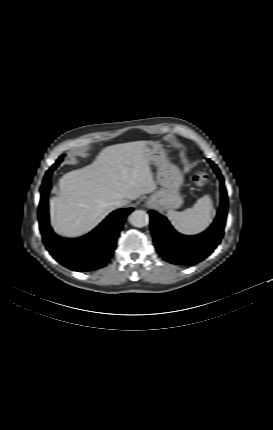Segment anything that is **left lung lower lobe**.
Listing matches in <instances>:
<instances>
[{
  "label": "left lung lower lobe",
  "instance_id": "left-lung-lower-lobe-1",
  "mask_svg": "<svg viewBox=\"0 0 273 430\" xmlns=\"http://www.w3.org/2000/svg\"><path fill=\"white\" fill-rule=\"evenodd\" d=\"M221 184V206L214 223L203 233L185 236L175 231L167 219L155 211H149L151 230L157 252L172 264L192 265L204 260L218 246L223 236L227 216V191L224 178L216 164L208 159Z\"/></svg>",
  "mask_w": 273,
  "mask_h": 430
}]
</instances>
